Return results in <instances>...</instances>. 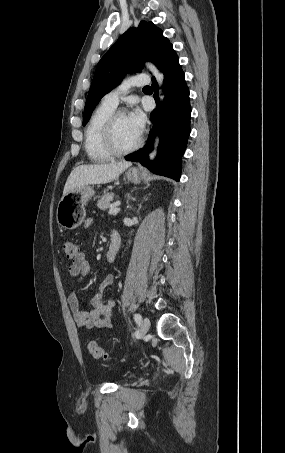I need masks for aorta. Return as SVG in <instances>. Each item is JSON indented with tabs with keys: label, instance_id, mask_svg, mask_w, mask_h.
<instances>
[{
	"label": "aorta",
	"instance_id": "obj_1",
	"mask_svg": "<svg viewBox=\"0 0 285 453\" xmlns=\"http://www.w3.org/2000/svg\"><path fill=\"white\" fill-rule=\"evenodd\" d=\"M146 67L152 72V74L155 76L159 86L161 87L164 81V76L160 71L157 69L156 66H154L152 63H146ZM159 95H160V100H163L164 96L162 95V90H159ZM159 139L156 138L155 140V149L150 153L149 157L150 159H154L156 156V147L158 145Z\"/></svg>",
	"mask_w": 285,
	"mask_h": 453
}]
</instances>
